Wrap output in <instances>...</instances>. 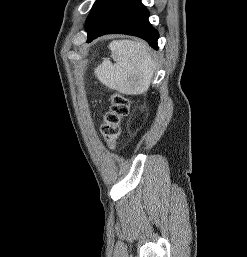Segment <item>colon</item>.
Wrapping results in <instances>:
<instances>
[{"instance_id": "5ec220e1", "label": "colon", "mask_w": 247, "mask_h": 257, "mask_svg": "<svg viewBox=\"0 0 247 257\" xmlns=\"http://www.w3.org/2000/svg\"><path fill=\"white\" fill-rule=\"evenodd\" d=\"M129 106V99L126 95L116 92L110 96V108L101 125V133L111 149L117 145L121 121L129 114Z\"/></svg>"}]
</instances>
